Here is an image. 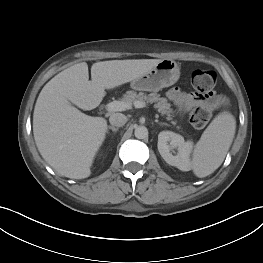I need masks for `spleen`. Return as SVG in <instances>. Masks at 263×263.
Wrapping results in <instances>:
<instances>
[{"label":"spleen","instance_id":"spleen-1","mask_svg":"<svg viewBox=\"0 0 263 263\" xmlns=\"http://www.w3.org/2000/svg\"><path fill=\"white\" fill-rule=\"evenodd\" d=\"M236 121L227 111L216 116L203 132L193 151L194 174L206 177L223 162L235 134Z\"/></svg>","mask_w":263,"mask_h":263}]
</instances>
